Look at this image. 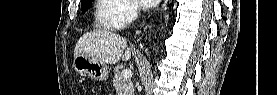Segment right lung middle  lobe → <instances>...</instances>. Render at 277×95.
I'll list each match as a JSON object with an SVG mask.
<instances>
[{
	"label": "right lung middle lobe",
	"instance_id": "dd1d6c3e",
	"mask_svg": "<svg viewBox=\"0 0 277 95\" xmlns=\"http://www.w3.org/2000/svg\"><path fill=\"white\" fill-rule=\"evenodd\" d=\"M92 0H85L81 2L82 13H85L86 10L91 6Z\"/></svg>",
	"mask_w": 277,
	"mask_h": 95
}]
</instances>
